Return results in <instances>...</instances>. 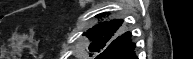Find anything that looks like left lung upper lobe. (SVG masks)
<instances>
[{"mask_svg": "<svg viewBox=\"0 0 193 59\" xmlns=\"http://www.w3.org/2000/svg\"><path fill=\"white\" fill-rule=\"evenodd\" d=\"M103 15H105V13L97 16L100 17ZM122 23L123 20H111L109 22L99 23L87 30V32H84L83 35L92 40L89 51L101 54L106 48L111 47L123 35H120ZM100 54L98 55L99 57H101ZM90 56H92V54Z\"/></svg>", "mask_w": 193, "mask_h": 59, "instance_id": "obj_1", "label": "left lung upper lobe"}]
</instances>
